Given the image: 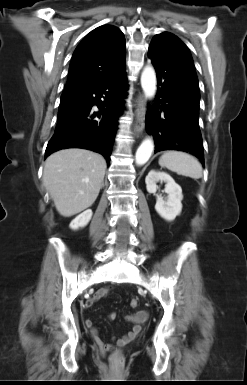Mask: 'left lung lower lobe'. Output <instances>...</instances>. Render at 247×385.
Wrapping results in <instances>:
<instances>
[{
	"mask_svg": "<svg viewBox=\"0 0 247 385\" xmlns=\"http://www.w3.org/2000/svg\"><path fill=\"white\" fill-rule=\"evenodd\" d=\"M148 57L156 69L159 85L155 104L148 109L146 117L147 131L155 139V153L190 152L204 165L198 124L200 92L194 66L166 33L152 39Z\"/></svg>",
	"mask_w": 247,
	"mask_h": 385,
	"instance_id": "1",
	"label": "left lung lower lobe"
}]
</instances>
